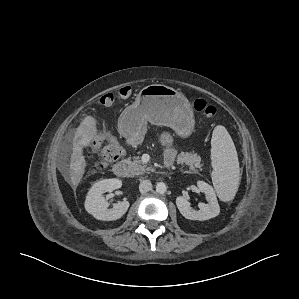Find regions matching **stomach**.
Wrapping results in <instances>:
<instances>
[{"mask_svg": "<svg viewBox=\"0 0 299 299\" xmlns=\"http://www.w3.org/2000/svg\"><path fill=\"white\" fill-rule=\"evenodd\" d=\"M148 122L170 127L182 138L190 136L195 125L193 109L185 95L162 84L141 89L120 117L125 134L132 138L144 134Z\"/></svg>", "mask_w": 299, "mask_h": 299, "instance_id": "obj_1", "label": "stomach"}]
</instances>
